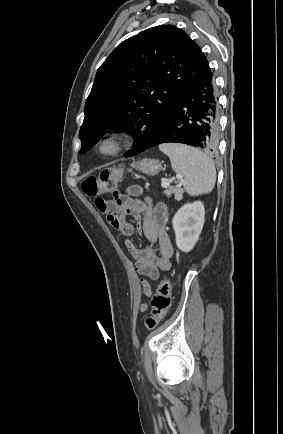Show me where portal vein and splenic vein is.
Returning <instances> with one entry per match:
<instances>
[{
    "mask_svg": "<svg viewBox=\"0 0 283 434\" xmlns=\"http://www.w3.org/2000/svg\"><path fill=\"white\" fill-rule=\"evenodd\" d=\"M181 179L182 177L181 176H176V177H173V178H171L170 180H168V181H166L165 179H162V187H164V188H166V187H169L170 186V183L172 182V181H174L175 179Z\"/></svg>",
    "mask_w": 283,
    "mask_h": 434,
    "instance_id": "portal-vein-and-splenic-vein-1",
    "label": "portal vein and splenic vein"
}]
</instances>
